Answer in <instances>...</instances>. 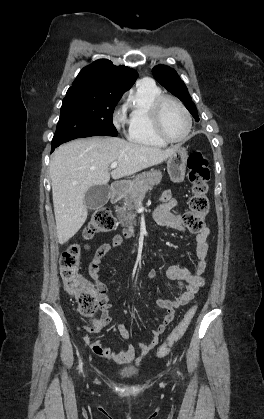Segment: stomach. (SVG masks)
<instances>
[{
  "instance_id": "stomach-1",
  "label": "stomach",
  "mask_w": 264,
  "mask_h": 419,
  "mask_svg": "<svg viewBox=\"0 0 264 419\" xmlns=\"http://www.w3.org/2000/svg\"><path fill=\"white\" fill-rule=\"evenodd\" d=\"M187 158V149L180 146L175 147L174 153L168 158L167 171L173 182L180 183L184 180Z\"/></svg>"
}]
</instances>
